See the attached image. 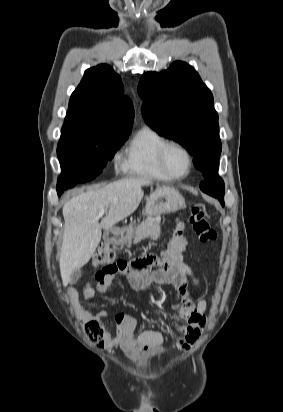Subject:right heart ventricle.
I'll list each match as a JSON object with an SVG mask.
<instances>
[{"label": "right heart ventricle", "mask_w": 283, "mask_h": 412, "mask_svg": "<svg viewBox=\"0 0 283 412\" xmlns=\"http://www.w3.org/2000/svg\"><path fill=\"white\" fill-rule=\"evenodd\" d=\"M169 139L159 130L143 126L129 141L122 160L128 174L166 180L158 165L161 148Z\"/></svg>", "instance_id": "1"}]
</instances>
